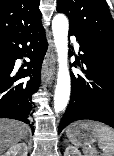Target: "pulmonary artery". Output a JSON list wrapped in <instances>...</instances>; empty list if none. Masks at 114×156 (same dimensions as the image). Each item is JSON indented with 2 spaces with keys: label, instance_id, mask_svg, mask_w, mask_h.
Listing matches in <instances>:
<instances>
[{
  "label": "pulmonary artery",
  "instance_id": "1",
  "mask_svg": "<svg viewBox=\"0 0 114 156\" xmlns=\"http://www.w3.org/2000/svg\"><path fill=\"white\" fill-rule=\"evenodd\" d=\"M73 43H74L75 49H76L77 51H80V45H79V43H78L75 39H73Z\"/></svg>",
  "mask_w": 114,
  "mask_h": 156
}]
</instances>
